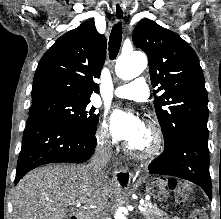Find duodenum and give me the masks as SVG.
<instances>
[{
  "label": "duodenum",
  "instance_id": "obj_1",
  "mask_svg": "<svg viewBox=\"0 0 221 219\" xmlns=\"http://www.w3.org/2000/svg\"><path fill=\"white\" fill-rule=\"evenodd\" d=\"M67 219H84V216L81 212H76L67 217Z\"/></svg>",
  "mask_w": 221,
  "mask_h": 219
}]
</instances>
